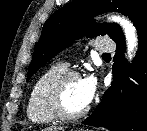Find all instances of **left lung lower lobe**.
Instances as JSON below:
<instances>
[{
	"mask_svg": "<svg viewBox=\"0 0 147 131\" xmlns=\"http://www.w3.org/2000/svg\"><path fill=\"white\" fill-rule=\"evenodd\" d=\"M138 52L127 68L125 40L117 41L113 82L83 124L110 131H147V22L138 30Z\"/></svg>",
	"mask_w": 147,
	"mask_h": 131,
	"instance_id": "obj_1",
	"label": "left lung lower lobe"
}]
</instances>
